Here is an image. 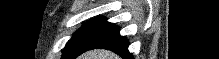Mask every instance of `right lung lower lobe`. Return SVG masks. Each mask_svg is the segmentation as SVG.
I'll use <instances>...</instances> for the list:
<instances>
[{
  "label": "right lung lower lobe",
  "instance_id": "obj_1",
  "mask_svg": "<svg viewBox=\"0 0 219 59\" xmlns=\"http://www.w3.org/2000/svg\"><path fill=\"white\" fill-rule=\"evenodd\" d=\"M128 44V40L125 37L120 36L119 29H116L99 40L91 49H108L124 59H133L132 55L128 52Z\"/></svg>",
  "mask_w": 219,
  "mask_h": 59
}]
</instances>
